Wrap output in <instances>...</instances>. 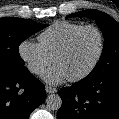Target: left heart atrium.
<instances>
[{
  "instance_id": "39dd6f15",
  "label": "left heart atrium",
  "mask_w": 119,
  "mask_h": 119,
  "mask_svg": "<svg viewBox=\"0 0 119 119\" xmlns=\"http://www.w3.org/2000/svg\"><path fill=\"white\" fill-rule=\"evenodd\" d=\"M44 79L50 84H58L68 79V77L59 66L54 65L52 68L46 71L44 74Z\"/></svg>"
}]
</instances>
